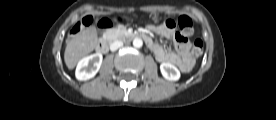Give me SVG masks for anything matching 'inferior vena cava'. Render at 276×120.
Here are the masks:
<instances>
[{"label":"inferior vena cava","mask_w":276,"mask_h":120,"mask_svg":"<svg viewBox=\"0 0 276 120\" xmlns=\"http://www.w3.org/2000/svg\"><path fill=\"white\" fill-rule=\"evenodd\" d=\"M123 46V42L122 41H115L110 45V50L111 51H116L117 49H119L120 47Z\"/></svg>","instance_id":"obj_1"}]
</instances>
